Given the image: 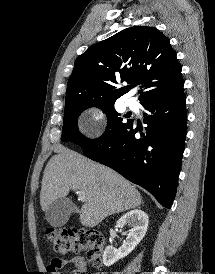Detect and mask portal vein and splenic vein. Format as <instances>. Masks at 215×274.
I'll list each match as a JSON object with an SVG mask.
<instances>
[{
  "instance_id": "18ae733b",
  "label": "portal vein and splenic vein",
  "mask_w": 215,
  "mask_h": 274,
  "mask_svg": "<svg viewBox=\"0 0 215 274\" xmlns=\"http://www.w3.org/2000/svg\"><path fill=\"white\" fill-rule=\"evenodd\" d=\"M77 194L80 200H86V193L84 191H78Z\"/></svg>"
}]
</instances>
